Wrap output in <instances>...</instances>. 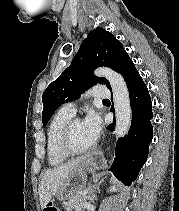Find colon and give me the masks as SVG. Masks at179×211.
<instances>
[{"mask_svg":"<svg viewBox=\"0 0 179 211\" xmlns=\"http://www.w3.org/2000/svg\"><path fill=\"white\" fill-rule=\"evenodd\" d=\"M43 211H59L57 206L53 203H48L44 208Z\"/></svg>","mask_w":179,"mask_h":211,"instance_id":"colon-1","label":"colon"}]
</instances>
